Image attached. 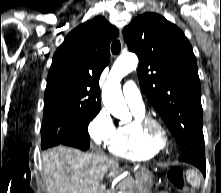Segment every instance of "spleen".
Here are the masks:
<instances>
[{
	"mask_svg": "<svg viewBox=\"0 0 221 193\" xmlns=\"http://www.w3.org/2000/svg\"><path fill=\"white\" fill-rule=\"evenodd\" d=\"M186 178H187V181L191 184L192 187L199 188V186H200V177H199L196 170H194V169L188 170L186 172Z\"/></svg>",
	"mask_w": 221,
	"mask_h": 193,
	"instance_id": "obj_1",
	"label": "spleen"
}]
</instances>
